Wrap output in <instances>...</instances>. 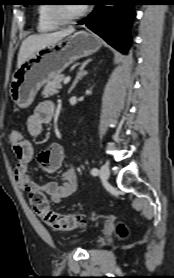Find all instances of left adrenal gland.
<instances>
[{
    "label": "left adrenal gland",
    "mask_w": 174,
    "mask_h": 278,
    "mask_svg": "<svg viewBox=\"0 0 174 278\" xmlns=\"http://www.w3.org/2000/svg\"><path fill=\"white\" fill-rule=\"evenodd\" d=\"M90 61H92V59H87L86 61H84V62L82 63V65H81V67L79 68V71H78V73H77V76H76V78H75V80H74L72 86L70 87L68 93H71L72 90L75 88L76 84L78 83V81L81 80L85 75L88 74V72L85 71L84 69H85L86 65H87Z\"/></svg>",
    "instance_id": "left-adrenal-gland-1"
}]
</instances>
